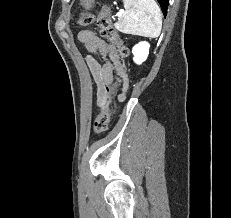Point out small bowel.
Returning <instances> with one entry per match:
<instances>
[{
	"label": "small bowel",
	"instance_id": "obj_1",
	"mask_svg": "<svg viewBox=\"0 0 231 218\" xmlns=\"http://www.w3.org/2000/svg\"><path fill=\"white\" fill-rule=\"evenodd\" d=\"M78 39L85 45L89 54L86 56V62L92 74L96 86V104L99 107L100 102L107 90L114 82L115 74L123 81L122 92L118 99L122 102L128 88V78L121 67L118 55L112 45L101 39L92 30H82L78 33ZM96 55L103 58L100 63Z\"/></svg>",
	"mask_w": 231,
	"mask_h": 218
}]
</instances>
